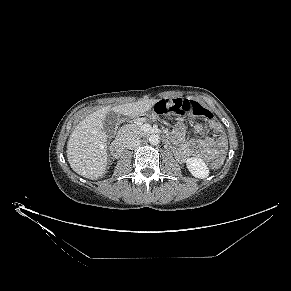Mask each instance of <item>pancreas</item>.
<instances>
[{
	"instance_id": "1",
	"label": "pancreas",
	"mask_w": 291,
	"mask_h": 291,
	"mask_svg": "<svg viewBox=\"0 0 291 291\" xmlns=\"http://www.w3.org/2000/svg\"><path fill=\"white\" fill-rule=\"evenodd\" d=\"M140 132H141V123L136 122V123L128 124L121 127L118 135L122 137H128L133 133H140Z\"/></svg>"
}]
</instances>
